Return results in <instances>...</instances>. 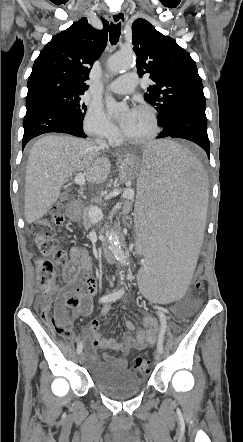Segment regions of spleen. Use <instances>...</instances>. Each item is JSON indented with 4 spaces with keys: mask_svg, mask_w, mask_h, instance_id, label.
Returning <instances> with one entry per match:
<instances>
[{
    "mask_svg": "<svg viewBox=\"0 0 243 442\" xmlns=\"http://www.w3.org/2000/svg\"><path fill=\"white\" fill-rule=\"evenodd\" d=\"M136 172V235L151 237L145 243L136 291L157 307L175 305L187 296L197 241L204 235L205 172L188 149L167 140L145 145Z\"/></svg>",
    "mask_w": 243,
    "mask_h": 442,
    "instance_id": "1",
    "label": "spleen"
}]
</instances>
